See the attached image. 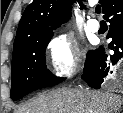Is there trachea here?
<instances>
[{"mask_svg": "<svg viewBox=\"0 0 123 113\" xmlns=\"http://www.w3.org/2000/svg\"><path fill=\"white\" fill-rule=\"evenodd\" d=\"M95 12L98 13V14L101 13V6L100 5L96 6Z\"/></svg>", "mask_w": 123, "mask_h": 113, "instance_id": "1", "label": "trachea"}]
</instances>
